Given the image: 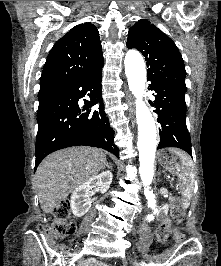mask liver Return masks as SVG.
Instances as JSON below:
<instances>
[{"mask_svg": "<svg viewBox=\"0 0 221 266\" xmlns=\"http://www.w3.org/2000/svg\"><path fill=\"white\" fill-rule=\"evenodd\" d=\"M103 150L93 147H71L47 156L35 174L41 209L52 213L77 186L97 175L106 166Z\"/></svg>", "mask_w": 221, "mask_h": 266, "instance_id": "liver-1", "label": "liver"}]
</instances>
